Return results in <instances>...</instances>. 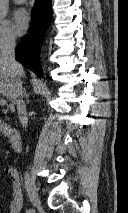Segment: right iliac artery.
<instances>
[{
    "instance_id": "right-iliac-artery-1",
    "label": "right iliac artery",
    "mask_w": 128,
    "mask_h": 213,
    "mask_svg": "<svg viewBox=\"0 0 128 213\" xmlns=\"http://www.w3.org/2000/svg\"><path fill=\"white\" fill-rule=\"evenodd\" d=\"M28 213H33V210H29V212Z\"/></svg>"
}]
</instances>
